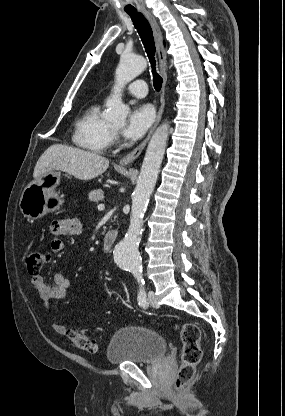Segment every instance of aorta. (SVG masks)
Instances as JSON below:
<instances>
[{"mask_svg":"<svg viewBox=\"0 0 285 416\" xmlns=\"http://www.w3.org/2000/svg\"><path fill=\"white\" fill-rule=\"evenodd\" d=\"M146 67V59L142 56L123 55L121 57L116 69L112 94L106 101V120L118 124L125 122L129 108L122 102V90ZM168 136L169 125L164 123L156 129L148 144L137 185L132 195L130 225L124 239L115 246L113 252L118 266L130 271L135 277L142 274V259L138 251V244L142 233L143 216L158 178Z\"/></svg>","mask_w":285,"mask_h":416,"instance_id":"obj_1","label":"aorta"}]
</instances>
